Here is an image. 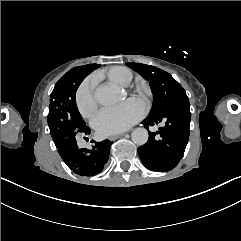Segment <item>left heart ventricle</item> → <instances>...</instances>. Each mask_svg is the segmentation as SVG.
Wrapping results in <instances>:
<instances>
[{
	"mask_svg": "<svg viewBox=\"0 0 241 241\" xmlns=\"http://www.w3.org/2000/svg\"><path fill=\"white\" fill-rule=\"evenodd\" d=\"M139 97L148 101V90L144 86L139 89Z\"/></svg>",
	"mask_w": 241,
	"mask_h": 241,
	"instance_id": "left-heart-ventricle-1",
	"label": "left heart ventricle"
}]
</instances>
